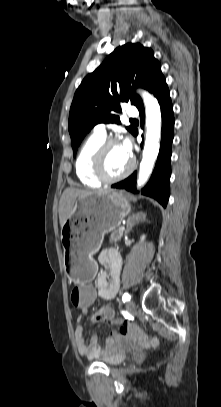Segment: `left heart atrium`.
<instances>
[{"instance_id":"39dd6f15","label":"left heart atrium","mask_w":221,"mask_h":407,"mask_svg":"<svg viewBox=\"0 0 221 407\" xmlns=\"http://www.w3.org/2000/svg\"><path fill=\"white\" fill-rule=\"evenodd\" d=\"M124 151L130 156L131 155V144L128 140H125L122 144Z\"/></svg>"}]
</instances>
